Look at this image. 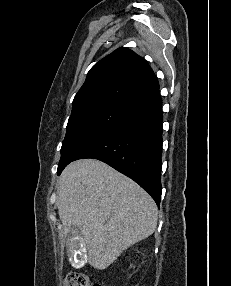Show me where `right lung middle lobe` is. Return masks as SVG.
<instances>
[{
    "label": "right lung middle lobe",
    "mask_w": 231,
    "mask_h": 286,
    "mask_svg": "<svg viewBox=\"0 0 231 286\" xmlns=\"http://www.w3.org/2000/svg\"><path fill=\"white\" fill-rule=\"evenodd\" d=\"M132 114V108L111 101L92 104L72 112L61 148L58 175L91 142Z\"/></svg>",
    "instance_id": "right-lung-middle-lobe-1"
}]
</instances>
